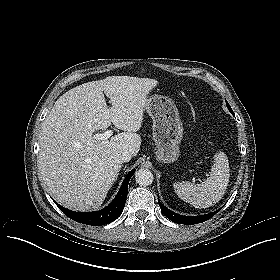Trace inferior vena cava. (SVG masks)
I'll list each match as a JSON object with an SVG mask.
<instances>
[{"label": "inferior vena cava", "instance_id": "602c4592", "mask_svg": "<svg viewBox=\"0 0 280 280\" xmlns=\"http://www.w3.org/2000/svg\"><path fill=\"white\" fill-rule=\"evenodd\" d=\"M132 158V155L130 152L128 151H124L122 152V154L120 155V160L121 162H129Z\"/></svg>", "mask_w": 280, "mask_h": 280}]
</instances>
